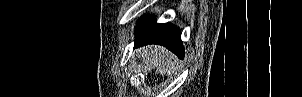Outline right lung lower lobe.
Segmentation results:
<instances>
[{"label":"right lung lower lobe","instance_id":"obj_1","mask_svg":"<svg viewBox=\"0 0 302 97\" xmlns=\"http://www.w3.org/2000/svg\"><path fill=\"white\" fill-rule=\"evenodd\" d=\"M135 33V47L147 44H160L167 47L180 58L184 57L180 30L170 23L156 24L153 22L152 17L146 19L143 16L138 22Z\"/></svg>","mask_w":302,"mask_h":97}]
</instances>
